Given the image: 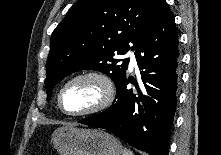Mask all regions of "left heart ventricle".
I'll list each match as a JSON object with an SVG mask.
<instances>
[{"instance_id":"left-heart-ventricle-1","label":"left heart ventricle","mask_w":221,"mask_h":155,"mask_svg":"<svg viewBox=\"0 0 221 155\" xmlns=\"http://www.w3.org/2000/svg\"><path fill=\"white\" fill-rule=\"evenodd\" d=\"M100 97V86L95 81L83 80L66 88L62 96V102L68 111L80 112L94 106Z\"/></svg>"}]
</instances>
